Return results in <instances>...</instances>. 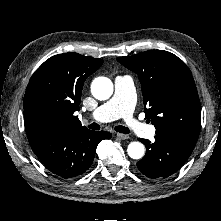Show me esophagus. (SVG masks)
I'll return each mask as SVG.
<instances>
[{"label":"esophagus","mask_w":221,"mask_h":221,"mask_svg":"<svg viewBox=\"0 0 221 221\" xmlns=\"http://www.w3.org/2000/svg\"><path fill=\"white\" fill-rule=\"evenodd\" d=\"M117 137L122 139V140H126V139H129V135L127 134H122V133H117Z\"/></svg>","instance_id":"1"}]
</instances>
